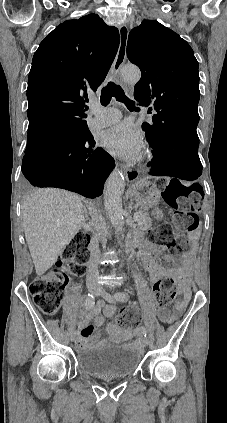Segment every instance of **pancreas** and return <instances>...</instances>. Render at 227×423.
Masks as SVG:
<instances>
[{
	"label": "pancreas",
	"instance_id": "obj_1",
	"mask_svg": "<svg viewBox=\"0 0 227 423\" xmlns=\"http://www.w3.org/2000/svg\"><path fill=\"white\" fill-rule=\"evenodd\" d=\"M149 208H140L139 219H137V225L140 229H147L152 223L151 217H149Z\"/></svg>",
	"mask_w": 227,
	"mask_h": 423
}]
</instances>
